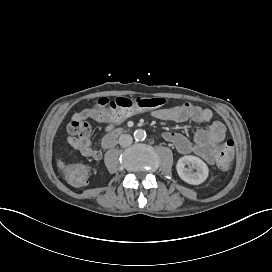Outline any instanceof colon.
<instances>
[{"instance_id":"obj_1","label":"colon","mask_w":272,"mask_h":272,"mask_svg":"<svg viewBox=\"0 0 272 272\" xmlns=\"http://www.w3.org/2000/svg\"><path fill=\"white\" fill-rule=\"evenodd\" d=\"M166 100L162 97H135L127 98L122 95H116L111 104L112 112L107 115L113 123H120L126 120L130 115L139 110H155L164 106ZM96 104L99 107H105L108 104V99L105 96H99L96 99ZM93 110L91 108L84 109L82 112H77L69 117L71 122L67 126V143L70 147L74 145L77 148H84L87 145V137L90 135L91 127L89 123L82 118L91 115ZM235 143L233 140H227L225 144L217 147L216 162L221 170H227L231 166L234 157ZM71 155L76 157L78 151L73 149ZM60 172L64 176L69 177V182L73 186H78L86 177L87 169L83 165H70L64 163L60 167Z\"/></svg>"}]
</instances>
